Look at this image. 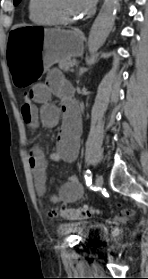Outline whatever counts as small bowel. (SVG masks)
I'll use <instances>...</instances> for the list:
<instances>
[{
	"mask_svg": "<svg viewBox=\"0 0 148 279\" xmlns=\"http://www.w3.org/2000/svg\"><path fill=\"white\" fill-rule=\"evenodd\" d=\"M32 101L22 105L24 121L31 127L55 128L62 119L57 136L56 149L50 155L52 161L73 162L77 156L81 133V117L78 106L72 98V87L58 70H52L45 83L34 85L31 89ZM55 95L61 101L57 107L50 103ZM36 104H39L38 108ZM29 165L34 176L37 192L42 195L46 188V160L43 152L35 148L30 152ZM83 196V187L76 176H70L52 197L54 203H72Z\"/></svg>",
	"mask_w": 148,
	"mask_h": 279,
	"instance_id": "small-bowel-1",
	"label": "small bowel"
}]
</instances>
